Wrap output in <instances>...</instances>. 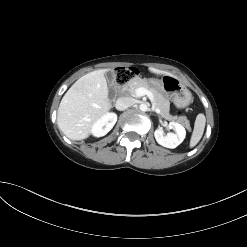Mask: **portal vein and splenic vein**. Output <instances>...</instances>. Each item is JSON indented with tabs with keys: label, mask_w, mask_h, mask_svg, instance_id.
<instances>
[{
	"label": "portal vein and splenic vein",
	"mask_w": 247,
	"mask_h": 247,
	"mask_svg": "<svg viewBox=\"0 0 247 247\" xmlns=\"http://www.w3.org/2000/svg\"><path fill=\"white\" fill-rule=\"evenodd\" d=\"M147 95V97L150 99V101L152 102L153 104V101H154V97H153V94L151 91L147 90L146 88H143V87H140L136 90V96L137 97H142V96H145ZM155 112L159 113V109H155Z\"/></svg>",
	"instance_id": "portal-vein-and-splenic-vein-1"
}]
</instances>
